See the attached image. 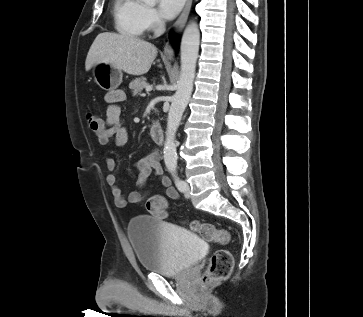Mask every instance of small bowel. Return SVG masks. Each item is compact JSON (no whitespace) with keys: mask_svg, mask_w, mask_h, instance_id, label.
Instances as JSON below:
<instances>
[{"mask_svg":"<svg viewBox=\"0 0 363 317\" xmlns=\"http://www.w3.org/2000/svg\"><path fill=\"white\" fill-rule=\"evenodd\" d=\"M105 100L108 103L106 117L104 120V130L98 134V141L101 145H107L111 140L117 146H124L128 143L130 136L128 130L123 126L120 120L119 103L125 100V93L122 90L109 91ZM107 169L111 171L106 181L111 187L114 203L119 208H124L128 203L139 204L153 197H159L165 200L161 195H151L144 192L134 191L125 196L117 186V175L113 171L117 167V161L109 157L106 160ZM134 167L138 170L137 184L143 186L151 174L160 177L161 184L165 188V195L170 199H177L179 193L171 186L170 179L164 175L160 163L158 151L153 150L134 162Z\"/></svg>","mask_w":363,"mask_h":317,"instance_id":"1","label":"small bowel"}]
</instances>
